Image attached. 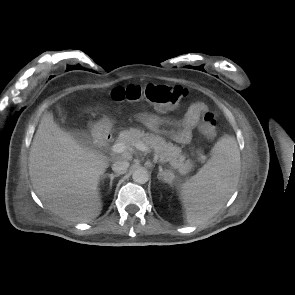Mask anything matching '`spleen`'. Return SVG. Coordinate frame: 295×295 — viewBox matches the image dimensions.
<instances>
[{
  "label": "spleen",
  "instance_id": "1",
  "mask_svg": "<svg viewBox=\"0 0 295 295\" xmlns=\"http://www.w3.org/2000/svg\"><path fill=\"white\" fill-rule=\"evenodd\" d=\"M240 168L236 140L230 136L221 138L207 163L180 187L188 224H202L224 206L237 187Z\"/></svg>",
  "mask_w": 295,
  "mask_h": 295
}]
</instances>
